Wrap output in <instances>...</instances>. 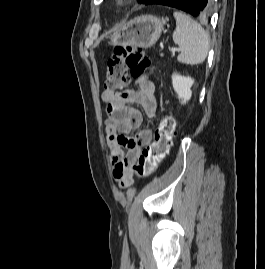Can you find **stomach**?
Segmentation results:
<instances>
[{"label": "stomach", "instance_id": "stomach-1", "mask_svg": "<svg viewBox=\"0 0 265 269\" xmlns=\"http://www.w3.org/2000/svg\"><path fill=\"white\" fill-rule=\"evenodd\" d=\"M165 19L153 15H141L125 23L110 37L113 46L150 48L159 39Z\"/></svg>", "mask_w": 265, "mask_h": 269}]
</instances>
